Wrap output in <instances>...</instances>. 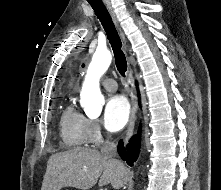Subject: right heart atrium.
Segmentation results:
<instances>
[{"instance_id": "1", "label": "right heart atrium", "mask_w": 221, "mask_h": 190, "mask_svg": "<svg viewBox=\"0 0 221 190\" xmlns=\"http://www.w3.org/2000/svg\"><path fill=\"white\" fill-rule=\"evenodd\" d=\"M87 144L97 146L104 140V135L99 122L95 119H88L86 126Z\"/></svg>"}]
</instances>
